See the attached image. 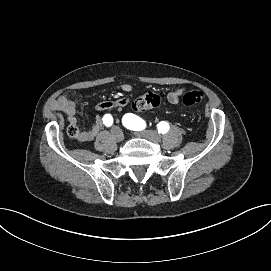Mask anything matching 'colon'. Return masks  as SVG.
<instances>
[{"mask_svg":"<svg viewBox=\"0 0 271 271\" xmlns=\"http://www.w3.org/2000/svg\"><path fill=\"white\" fill-rule=\"evenodd\" d=\"M202 99V93L198 90L192 89L184 94L183 103L186 106H192L197 104ZM163 97L161 94L149 91L139 96L133 103L132 108L135 111H147L160 106ZM68 134L72 138H77L79 135V129L76 126H69Z\"/></svg>","mask_w":271,"mask_h":271,"instance_id":"obj_1","label":"colon"}]
</instances>
